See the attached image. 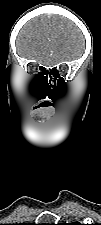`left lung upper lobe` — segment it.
<instances>
[{"mask_svg": "<svg viewBox=\"0 0 101 225\" xmlns=\"http://www.w3.org/2000/svg\"><path fill=\"white\" fill-rule=\"evenodd\" d=\"M68 225H83V224H81V223H79V222H73V223L68 224Z\"/></svg>", "mask_w": 101, "mask_h": 225, "instance_id": "left-lung-upper-lobe-1", "label": "left lung upper lobe"}]
</instances>
